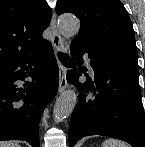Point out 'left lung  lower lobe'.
Listing matches in <instances>:
<instances>
[{
	"label": "left lung lower lobe",
	"mask_w": 145,
	"mask_h": 147,
	"mask_svg": "<svg viewBox=\"0 0 145 147\" xmlns=\"http://www.w3.org/2000/svg\"><path fill=\"white\" fill-rule=\"evenodd\" d=\"M71 55L78 65L87 53L95 73L92 81L79 83L87 69H72L67 80L79 88L69 128V144L89 135H104L145 147V115L139 87L138 56L125 51H96L71 43Z\"/></svg>",
	"instance_id": "left-lung-lower-lobe-1"
}]
</instances>
